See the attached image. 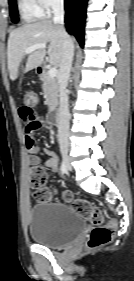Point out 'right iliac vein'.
<instances>
[{"instance_id":"obj_1","label":"right iliac vein","mask_w":134,"mask_h":281,"mask_svg":"<svg viewBox=\"0 0 134 281\" xmlns=\"http://www.w3.org/2000/svg\"><path fill=\"white\" fill-rule=\"evenodd\" d=\"M61 154L63 156V160L65 162L67 170L71 171L72 167H71L70 159H69V155H68V148L67 147H61Z\"/></svg>"}]
</instances>
